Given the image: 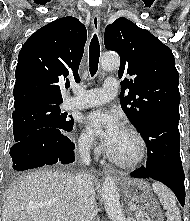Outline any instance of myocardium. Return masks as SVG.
Returning a JSON list of instances; mask_svg holds the SVG:
<instances>
[{
	"label": "myocardium",
	"mask_w": 190,
	"mask_h": 221,
	"mask_svg": "<svg viewBox=\"0 0 190 221\" xmlns=\"http://www.w3.org/2000/svg\"><path fill=\"white\" fill-rule=\"evenodd\" d=\"M123 129L126 130L127 132L131 133L136 138V140L139 144L138 156L131 161H123V160H120V159L116 158L115 156H113L108 150L105 151V154H106V157L112 163H114L115 165H117L121 168H127V169L136 168L142 164V162L144 161V159L146 157L147 144H146V141H145L143 135L135 127L130 126V125H126L123 127Z\"/></svg>",
	"instance_id": "obj_1"
}]
</instances>
